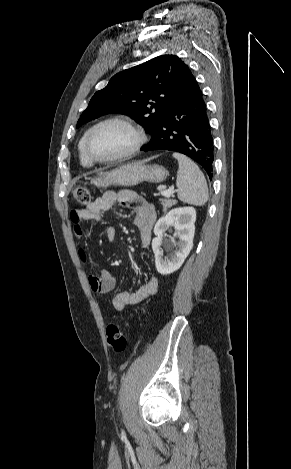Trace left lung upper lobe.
Segmentation results:
<instances>
[{"label":"left lung upper lobe","instance_id":"obj_1","mask_svg":"<svg viewBox=\"0 0 291 469\" xmlns=\"http://www.w3.org/2000/svg\"><path fill=\"white\" fill-rule=\"evenodd\" d=\"M191 76L189 67L175 55L158 56L117 73L91 98L77 128L104 114L122 112L153 135Z\"/></svg>","mask_w":291,"mask_h":469}]
</instances>
